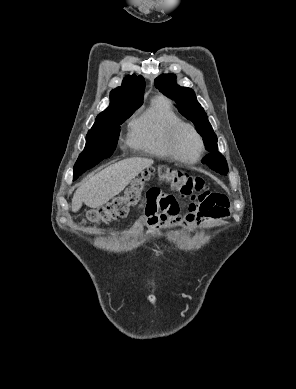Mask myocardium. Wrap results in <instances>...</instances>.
<instances>
[{"label": "myocardium", "mask_w": 296, "mask_h": 389, "mask_svg": "<svg viewBox=\"0 0 296 389\" xmlns=\"http://www.w3.org/2000/svg\"><path fill=\"white\" fill-rule=\"evenodd\" d=\"M183 129H188L189 131H191L192 134L195 136V138L198 141V147H199L198 153L194 159H185L178 152L177 138H178L179 133ZM166 144H167V149H168L170 155L175 160L182 162V163H185V164L197 163L201 159V157L204 153V150H205L204 139H203L202 135L200 134V132L197 130V128L193 124L188 123V122H184V121L176 122L170 127V129L167 133Z\"/></svg>", "instance_id": "myocardium-1"}]
</instances>
